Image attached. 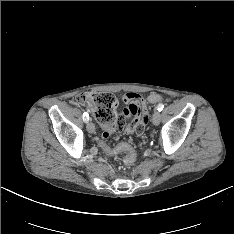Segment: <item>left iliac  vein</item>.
<instances>
[{
	"mask_svg": "<svg viewBox=\"0 0 234 234\" xmlns=\"http://www.w3.org/2000/svg\"><path fill=\"white\" fill-rule=\"evenodd\" d=\"M161 120V113L159 111H155L152 117V122L155 126L159 125Z\"/></svg>",
	"mask_w": 234,
	"mask_h": 234,
	"instance_id": "obj_1",
	"label": "left iliac vein"
}]
</instances>
